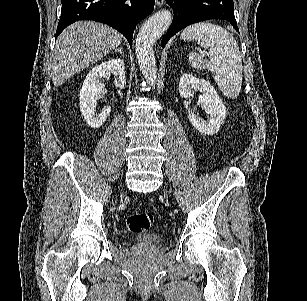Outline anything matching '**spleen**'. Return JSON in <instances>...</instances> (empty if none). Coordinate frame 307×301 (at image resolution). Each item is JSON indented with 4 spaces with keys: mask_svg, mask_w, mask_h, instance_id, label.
<instances>
[{
    "mask_svg": "<svg viewBox=\"0 0 307 301\" xmlns=\"http://www.w3.org/2000/svg\"><path fill=\"white\" fill-rule=\"evenodd\" d=\"M180 38L197 40L200 46L209 48L210 60H205L199 52H189L192 68H208L213 72L221 92L228 98H237L242 86L243 64L239 46L231 32L212 22H196L186 26Z\"/></svg>",
    "mask_w": 307,
    "mask_h": 301,
    "instance_id": "1",
    "label": "spleen"
}]
</instances>
